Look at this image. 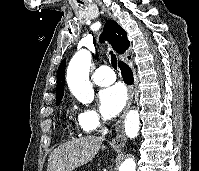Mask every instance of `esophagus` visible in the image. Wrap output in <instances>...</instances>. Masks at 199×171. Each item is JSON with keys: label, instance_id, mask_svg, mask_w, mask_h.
<instances>
[{"label": "esophagus", "instance_id": "esophagus-1", "mask_svg": "<svg viewBox=\"0 0 199 171\" xmlns=\"http://www.w3.org/2000/svg\"><path fill=\"white\" fill-rule=\"evenodd\" d=\"M133 95H134V88H133L132 85H130L128 87V99H127V103H126L125 109H124L121 117L119 118V120L115 124L116 136L112 140V145L113 146L122 147V146L125 145V143L127 141L126 135L124 133V118H125V115H126L127 111L130 108L131 103H132Z\"/></svg>", "mask_w": 199, "mask_h": 171}]
</instances>
